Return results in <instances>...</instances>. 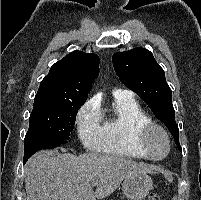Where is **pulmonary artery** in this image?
Masks as SVG:
<instances>
[{
  "label": "pulmonary artery",
  "mask_w": 201,
  "mask_h": 200,
  "mask_svg": "<svg viewBox=\"0 0 201 200\" xmlns=\"http://www.w3.org/2000/svg\"><path fill=\"white\" fill-rule=\"evenodd\" d=\"M115 94H127V92L124 90L118 89L115 91Z\"/></svg>",
  "instance_id": "pulmonary-artery-1"
}]
</instances>
